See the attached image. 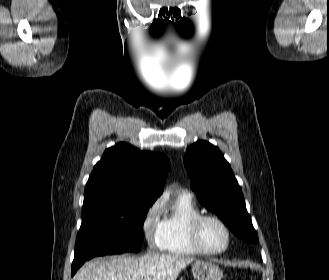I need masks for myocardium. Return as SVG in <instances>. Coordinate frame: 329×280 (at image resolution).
<instances>
[{
    "instance_id": "1",
    "label": "myocardium",
    "mask_w": 329,
    "mask_h": 280,
    "mask_svg": "<svg viewBox=\"0 0 329 280\" xmlns=\"http://www.w3.org/2000/svg\"><path fill=\"white\" fill-rule=\"evenodd\" d=\"M209 220L217 222L224 229L226 233V243L220 249H216V250L208 249L207 247L204 246V244L201 241V228L203 224ZM189 236L195 250L200 254L209 255V256H216L223 254L229 249L232 242V232L229 226L221 217L215 214H200L196 216L190 223Z\"/></svg>"
}]
</instances>
